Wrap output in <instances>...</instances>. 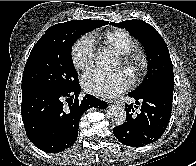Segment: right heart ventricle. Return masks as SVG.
<instances>
[{
  "label": "right heart ventricle",
  "mask_w": 196,
  "mask_h": 166,
  "mask_svg": "<svg viewBox=\"0 0 196 166\" xmlns=\"http://www.w3.org/2000/svg\"><path fill=\"white\" fill-rule=\"evenodd\" d=\"M101 38L119 54L125 53L134 47V41L130 34L121 29L106 31Z\"/></svg>",
  "instance_id": "obj_1"
}]
</instances>
